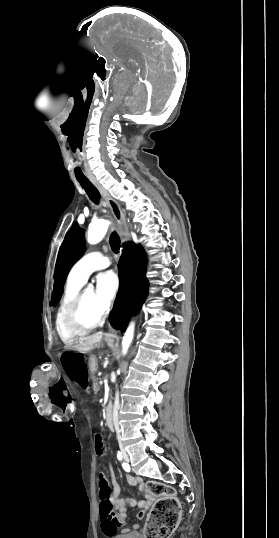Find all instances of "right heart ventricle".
I'll return each instance as SVG.
<instances>
[{
  "label": "right heart ventricle",
  "mask_w": 279,
  "mask_h": 538,
  "mask_svg": "<svg viewBox=\"0 0 279 538\" xmlns=\"http://www.w3.org/2000/svg\"><path fill=\"white\" fill-rule=\"evenodd\" d=\"M109 225V217L107 215L99 213L98 210H95L88 228L89 238L93 237L96 234H106L109 231ZM72 269L69 273L64 294L62 296L56 314V329L59 336L64 342H71L76 338V336L71 335L65 331L62 321L65 310L67 309L68 305L78 295L85 283L84 281L75 278Z\"/></svg>",
  "instance_id": "1"
}]
</instances>
